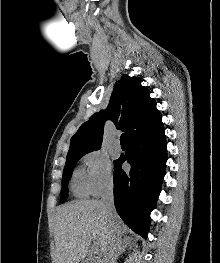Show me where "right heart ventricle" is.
I'll return each instance as SVG.
<instances>
[{
	"mask_svg": "<svg viewBox=\"0 0 220 263\" xmlns=\"http://www.w3.org/2000/svg\"><path fill=\"white\" fill-rule=\"evenodd\" d=\"M71 190L76 197L86 198L90 194L87 176L82 169H77L71 180Z\"/></svg>",
	"mask_w": 220,
	"mask_h": 263,
	"instance_id": "1",
	"label": "right heart ventricle"
}]
</instances>
